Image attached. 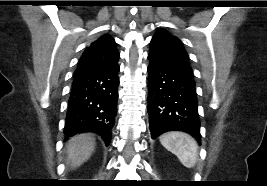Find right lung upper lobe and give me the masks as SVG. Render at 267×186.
Returning <instances> with one entry per match:
<instances>
[{
  "instance_id": "cb5924a9",
  "label": "right lung upper lobe",
  "mask_w": 267,
  "mask_h": 186,
  "mask_svg": "<svg viewBox=\"0 0 267 186\" xmlns=\"http://www.w3.org/2000/svg\"><path fill=\"white\" fill-rule=\"evenodd\" d=\"M119 57L114 39L109 35H104L85 49L74 74H82L111 65L117 62Z\"/></svg>"
}]
</instances>
